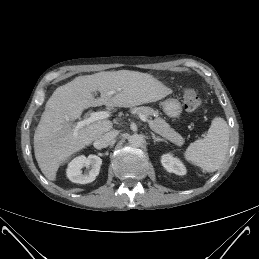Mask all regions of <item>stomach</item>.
Here are the masks:
<instances>
[{
	"label": "stomach",
	"instance_id": "obj_1",
	"mask_svg": "<svg viewBox=\"0 0 259 259\" xmlns=\"http://www.w3.org/2000/svg\"><path fill=\"white\" fill-rule=\"evenodd\" d=\"M163 111L169 117L177 118L182 112V105L177 99L169 98L163 102Z\"/></svg>",
	"mask_w": 259,
	"mask_h": 259
}]
</instances>
